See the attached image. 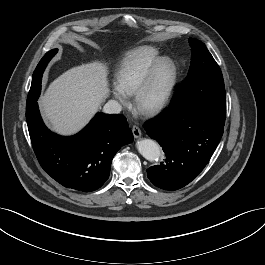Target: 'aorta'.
Here are the masks:
<instances>
[{
	"label": "aorta",
	"instance_id": "obj_1",
	"mask_svg": "<svg viewBox=\"0 0 265 265\" xmlns=\"http://www.w3.org/2000/svg\"><path fill=\"white\" fill-rule=\"evenodd\" d=\"M136 146L139 153L148 161H156L161 155L160 146L151 139H142Z\"/></svg>",
	"mask_w": 265,
	"mask_h": 265
}]
</instances>
